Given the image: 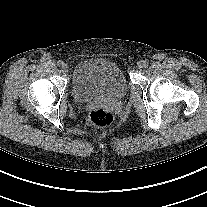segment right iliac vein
Listing matches in <instances>:
<instances>
[{
  "mask_svg": "<svg viewBox=\"0 0 207 207\" xmlns=\"http://www.w3.org/2000/svg\"><path fill=\"white\" fill-rule=\"evenodd\" d=\"M61 69H62V72H63V73H67V72H68V65L63 64V65L61 66Z\"/></svg>",
  "mask_w": 207,
  "mask_h": 207,
  "instance_id": "1",
  "label": "right iliac vein"
}]
</instances>
